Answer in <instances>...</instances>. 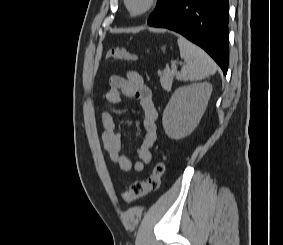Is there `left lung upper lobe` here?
Returning a JSON list of instances; mask_svg holds the SVG:
<instances>
[{
	"mask_svg": "<svg viewBox=\"0 0 283 245\" xmlns=\"http://www.w3.org/2000/svg\"><path fill=\"white\" fill-rule=\"evenodd\" d=\"M172 2L173 0H158L157 6L149 16L148 21H151L152 19L160 15Z\"/></svg>",
	"mask_w": 283,
	"mask_h": 245,
	"instance_id": "5c2ea615",
	"label": "left lung upper lobe"
}]
</instances>
